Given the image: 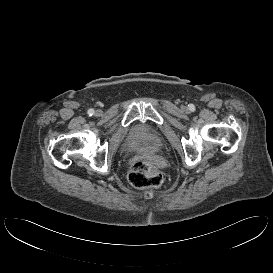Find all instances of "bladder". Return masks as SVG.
I'll use <instances>...</instances> for the list:
<instances>
[{
  "label": "bladder",
  "instance_id": "obj_1",
  "mask_svg": "<svg viewBox=\"0 0 273 273\" xmlns=\"http://www.w3.org/2000/svg\"><path fill=\"white\" fill-rule=\"evenodd\" d=\"M163 145L161 133L145 125H136L129 129L120 141L119 149L122 152L144 150L157 151Z\"/></svg>",
  "mask_w": 273,
  "mask_h": 273
}]
</instances>
